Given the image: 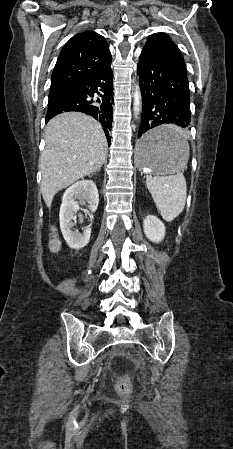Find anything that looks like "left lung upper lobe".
Returning <instances> with one entry per match:
<instances>
[{
	"label": "left lung upper lobe",
	"mask_w": 233,
	"mask_h": 449,
	"mask_svg": "<svg viewBox=\"0 0 233 449\" xmlns=\"http://www.w3.org/2000/svg\"><path fill=\"white\" fill-rule=\"evenodd\" d=\"M144 48L187 73L186 64L179 48L167 34L160 32L150 35Z\"/></svg>",
	"instance_id": "obj_1"
}]
</instances>
